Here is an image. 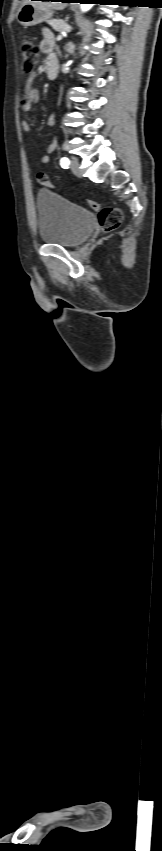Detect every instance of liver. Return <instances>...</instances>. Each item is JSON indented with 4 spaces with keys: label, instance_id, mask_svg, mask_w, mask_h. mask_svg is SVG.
<instances>
[{
    "label": "liver",
    "instance_id": "obj_1",
    "mask_svg": "<svg viewBox=\"0 0 162 851\" xmlns=\"http://www.w3.org/2000/svg\"><path fill=\"white\" fill-rule=\"evenodd\" d=\"M28 3H34L36 6H39L41 8L51 9V10L52 9L63 10L67 6V3H65V2H50V1H35V2H33L31 0H24L23 5L28 4Z\"/></svg>",
    "mask_w": 162,
    "mask_h": 851
}]
</instances>
